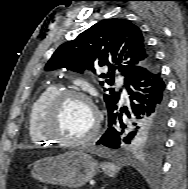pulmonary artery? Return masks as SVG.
<instances>
[{
  "instance_id": "1",
  "label": "pulmonary artery",
  "mask_w": 188,
  "mask_h": 189,
  "mask_svg": "<svg viewBox=\"0 0 188 189\" xmlns=\"http://www.w3.org/2000/svg\"><path fill=\"white\" fill-rule=\"evenodd\" d=\"M119 83L122 84L121 82H119ZM123 96H124L125 98H127V92H126L125 89H123Z\"/></svg>"
}]
</instances>
